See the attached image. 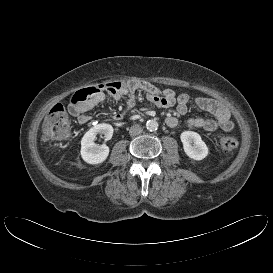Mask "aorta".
Segmentation results:
<instances>
[{
    "mask_svg": "<svg viewBox=\"0 0 273 273\" xmlns=\"http://www.w3.org/2000/svg\"><path fill=\"white\" fill-rule=\"evenodd\" d=\"M146 128L147 130L149 131H154V130H157L158 128V123L156 120H148L147 123H146Z\"/></svg>",
    "mask_w": 273,
    "mask_h": 273,
    "instance_id": "aorta-1",
    "label": "aorta"
}]
</instances>
